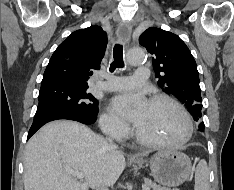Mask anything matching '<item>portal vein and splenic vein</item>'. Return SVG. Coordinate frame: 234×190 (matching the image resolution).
<instances>
[{
  "mask_svg": "<svg viewBox=\"0 0 234 190\" xmlns=\"http://www.w3.org/2000/svg\"><path fill=\"white\" fill-rule=\"evenodd\" d=\"M69 173L72 176L76 177L77 179H83L85 177V175L83 173H81V172H76V171H73V170H69ZM142 190H150V188L147 187V186H143Z\"/></svg>",
  "mask_w": 234,
  "mask_h": 190,
  "instance_id": "portal-vein-and-splenic-vein-1",
  "label": "portal vein and splenic vein"
}]
</instances>
